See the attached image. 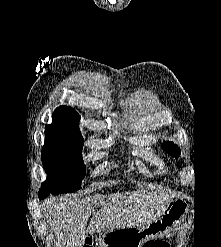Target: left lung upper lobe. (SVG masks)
Wrapping results in <instances>:
<instances>
[{"instance_id":"left-lung-upper-lobe-1","label":"left lung upper lobe","mask_w":221,"mask_h":247,"mask_svg":"<svg viewBox=\"0 0 221 247\" xmlns=\"http://www.w3.org/2000/svg\"><path fill=\"white\" fill-rule=\"evenodd\" d=\"M161 148L176 159L180 156V148H178V146L173 142L166 141L161 145Z\"/></svg>"}]
</instances>
